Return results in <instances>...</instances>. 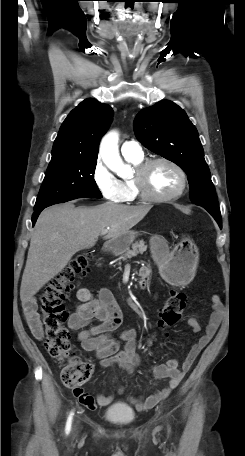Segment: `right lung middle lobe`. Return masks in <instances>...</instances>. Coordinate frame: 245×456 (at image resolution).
<instances>
[{"label":"right lung middle lobe","mask_w":245,"mask_h":456,"mask_svg":"<svg viewBox=\"0 0 245 456\" xmlns=\"http://www.w3.org/2000/svg\"><path fill=\"white\" fill-rule=\"evenodd\" d=\"M97 157H78L50 163L34 210L76 198H102L93 179Z\"/></svg>","instance_id":"1"}]
</instances>
